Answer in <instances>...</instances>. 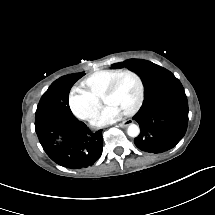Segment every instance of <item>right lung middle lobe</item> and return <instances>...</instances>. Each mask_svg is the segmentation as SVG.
<instances>
[{
  "label": "right lung middle lobe",
  "instance_id": "right-lung-middle-lobe-1",
  "mask_svg": "<svg viewBox=\"0 0 215 215\" xmlns=\"http://www.w3.org/2000/svg\"><path fill=\"white\" fill-rule=\"evenodd\" d=\"M82 76L83 74H77L64 77L49 87L38 104L35 124L54 120H77L69 108L68 96L73 84Z\"/></svg>",
  "mask_w": 215,
  "mask_h": 215
}]
</instances>
